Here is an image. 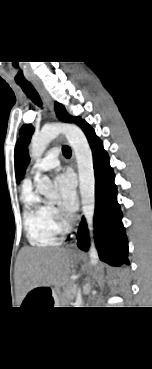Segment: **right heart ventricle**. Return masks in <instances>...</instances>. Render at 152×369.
I'll return each mask as SVG.
<instances>
[{"instance_id": "1", "label": "right heart ventricle", "mask_w": 152, "mask_h": 369, "mask_svg": "<svg viewBox=\"0 0 152 369\" xmlns=\"http://www.w3.org/2000/svg\"><path fill=\"white\" fill-rule=\"evenodd\" d=\"M23 201V224L27 238L33 246L55 245L61 228L55 222L52 208L42 203L32 190H25Z\"/></svg>"}]
</instances>
